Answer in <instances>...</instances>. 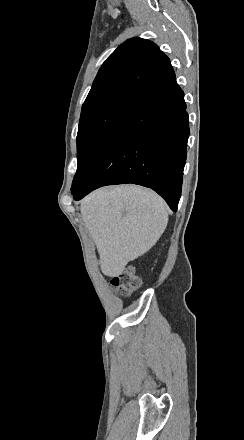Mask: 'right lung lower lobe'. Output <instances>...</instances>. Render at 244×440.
Masks as SVG:
<instances>
[{
    "label": "right lung lower lobe",
    "instance_id": "right-lung-lower-lobe-1",
    "mask_svg": "<svg viewBox=\"0 0 244 440\" xmlns=\"http://www.w3.org/2000/svg\"><path fill=\"white\" fill-rule=\"evenodd\" d=\"M185 109L175 75L141 97L72 185L74 198L101 186L134 183L153 189L176 211L189 137Z\"/></svg>",
    "mask_w": 244,
    "mask_h": 440
}]
</instances>
